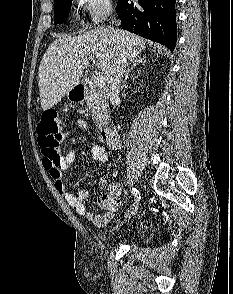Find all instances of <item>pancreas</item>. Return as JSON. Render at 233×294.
Segmentation results:
<instances>
[{"label": "pancreas", "mask_w": 233, "mask_h": 294, "mask_svg": "<svg viewBox=\"0 0 233 294\" xmlns=\"http://www.w3.org/2000/svg\"><path fill=\"white\" fill-rule=\"evenodd\" d=\"M86 102L88 108L91 110L95 125L99 129H102L108 119L105 95L99 89L91 88L86 96Z\"/></svg>", "instance_id": "cf45deb5"}]
</instances>
